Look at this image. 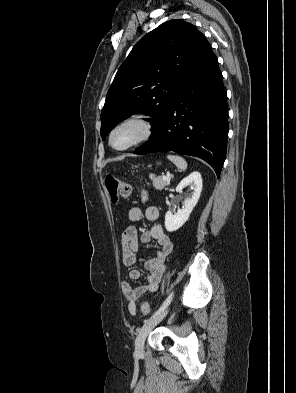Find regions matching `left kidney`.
Wrapping results in <instances>:
<instances>
[{
    "label": "left kidney",
    "instance_id": "5707ae66",
    "mask_svg": "<svg viewBox=\"0 0 296 393\" xmlns=\"http://www.w3.org/2000/svg\"><path fill=\"white\" fill-rule=\"evenodd\" d=\"M187 186H190L193 189L191 197L187 198L183 202L182 208L178 209L175 215H173L170 211H168L165 215V228L168 232L176 231L182 227L188 220L193 208L196 206L202 191L201 174L197 171L192 172L178 184L176 191L181 193Z\"/></svg>",
    "mask_w": 296,
    "mask_h": 393
}]
</instances>
